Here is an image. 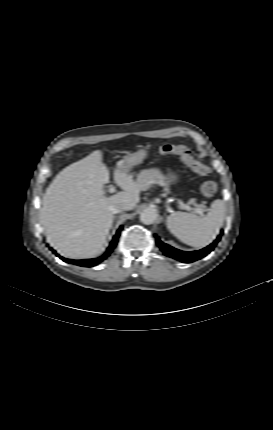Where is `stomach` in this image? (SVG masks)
Instances as JSON below:
<instances>
[{
	"instance_id": "0dacf381",
	"label": "stomach",
	"mask_w": 273,
	"mask_h": 430,
	"mask_svg": "<svg viewBox=\"0 0 273 430\" xmlns=\"http://www.w3.org/2000/svg\"><path fill=\"white\" fill-rule=\"evenodd\" d=\"M147 154L148 151L146 149H140L133 154H129L119 162L118 168L127 171L130 167L141 163ZM166 179L168 183H175L178 180V175L174 172H169Z\"/></svg>"
}]
</instances>
